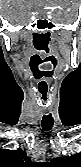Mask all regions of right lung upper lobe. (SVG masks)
Segmentation results:
<instances>
[{
    "mask_svg": "<svg viewBox=\"0 0 81 167\" xmlns=\"http://www.w3.org/2000/svg\"><path fill=\"white\" fill-rule=\"evenodd\" d=\"M26 153L21 150H0V167H34Z\"/></svg>",
    "mask_w": 81,
    "mask_h": 167,
    "instance_id": "1",
    "label": "right lung upper lobe"
}]
</instances>
